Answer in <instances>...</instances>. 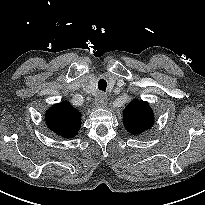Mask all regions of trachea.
<instances>
[{
    "instance_id": "trachea-1",
    "label": "trachea",
    "mask_w": 205,
    "mask_h": 205,
    "mask_svg": "<svg viewBox=\"0 0 205 205\" xmlns=\"http://www.w3.org/2000/svg\"><path fill=\"white\" fill-rule=\"evenodd\" d=\"M106 87H107V82H106V80L100 79V80L98 81V88H99V90L105 91V90H106Z\"/></svg>"
}]
</instances>
